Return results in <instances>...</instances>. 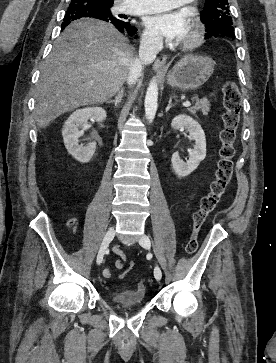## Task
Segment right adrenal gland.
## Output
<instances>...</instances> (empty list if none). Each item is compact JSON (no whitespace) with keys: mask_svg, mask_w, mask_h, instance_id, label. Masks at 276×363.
Wrapping results in <instances>:
<instances>
[{"mask_svg":"<svg viewBox=\"0 0 276 363\" xmlns=\"http://www.w3.org/2000/svg\"><path fill=\"white\" fill-rule=\"evenodd\" d=\"M123 94H124V90L121 89L120 91H118L117 96L115 97V100H109L107 101V103H114L115 107H118V105L121 103L122 98H123Z\"/></svg>","mask_w":276,"mask_h":363,"instance_id":"right-adrenal-gland-1","label":"right adrenal gland"}]
</instances>
